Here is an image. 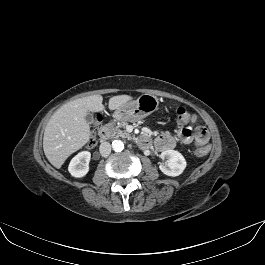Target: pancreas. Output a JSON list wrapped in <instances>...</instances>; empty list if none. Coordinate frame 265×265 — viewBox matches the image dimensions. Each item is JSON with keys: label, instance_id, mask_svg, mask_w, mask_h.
<instances>
[{"label": "pancreas", "instance_id": "obj_1", "mask_svg": "<svg viewBox=\"0 0 265 265\" xmlns=\"http://www.w3.org/2000/svg\"><path fill=\"white\" fill-rule=\"evenodd\" d=\"M110 125L112 129V133H111L112 137L130 138V135L125 130H121V128L125 127L126 125L125 122H120L118 125H116V123L113 122Z\"/></svg>", "mask_w": 265, "mask_h": 265}]
</instances>
